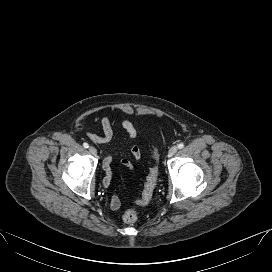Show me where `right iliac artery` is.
I'll return each instance as SVG.
<instances>
[{
  "label": "right iliac artery",
  "instance_id": "82829eb1",
  "mask_svg": "<svg viewBox=\"0 0 272 272\" xmlns=\"http://www.w3.org/2000/svg\"><path fill=\"white\" fill-rule=\"evenodd\" d=\"M83 147L84 148H88L89 147V145H88V143H83ZM108 173V172H107ZM108 175V174H107Z\"/></svg>",
  "mask_w": 272,
  "mask_h": 272
}]
</instances>
